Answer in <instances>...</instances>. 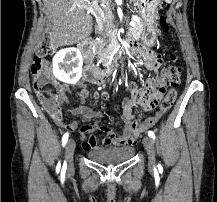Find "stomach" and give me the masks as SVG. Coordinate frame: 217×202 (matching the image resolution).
<instances>
[{
	"label": "stomach",
	"mask_w": 217,
	"mask_h": 202,
	"mask_svg": "<svg viewBox=\"0 0 217 202\" xmlns=\"http://www.w3.org/2000/svg\"><path fill=\"white\" fill-rule=\"evenodd\" d=\"M160 4L161 0H137L136 2L138 14L143 20V30L140 40L143 46H148V48H153L156 44L158 36L157 20Z\"/></svg>",
	"instance_id": "0dacf381"
}]
</instances>
